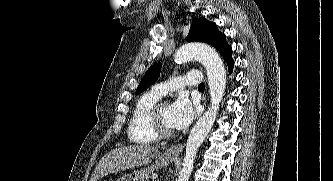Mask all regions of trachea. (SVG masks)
<instances>
[{
  "label": "trachea",
  "mask_w": 333,
  "mask_h": 181,
  "mask_svg": "<svg viewBox=\"0 0 333 181\" xmlns=\"http://www.w3.org/2000/svg\"><path fill=\"white\" fill-rule=\"evenodd\" d=\"M198 89H200V90H204V89H205V85H204V83L199 84V85H198Z\"/></svg>",
  "instance_id": "3493384b"
}]
</instances>
